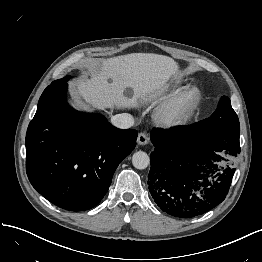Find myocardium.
I'll use <instances>...</instances> for the list:
<instances>
[{"mask_svg":"<svg viewBox=\"0 0 262 262\" xmlns=\"http://www.w3.org/2000/svg\"><path fill=\"white\" fill-rule=\"evenodd\" d=\"M189 95H192V98L190 102H187ZM200 101V88L195 85H187L159 108L157 122L163 127L184 125L193 118Z\"/></svg>","mask_w":262,"mask_h":262,"instance_id":"1","label":"myocardium"}]
</instances>
